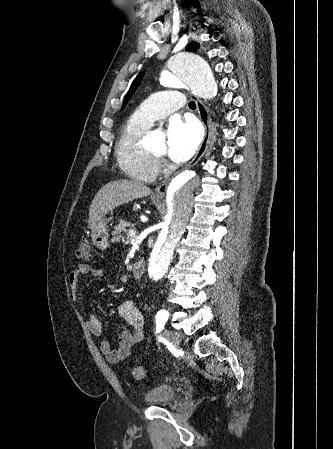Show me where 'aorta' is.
Masks as SVG:
<instances>
[{
	"mask_svg": "<svg viewBox=\"0 0 333 449\" xmlns=\"http://www.w3.org/2000/svg\"><path fill=\"white\" fill-rule=\"evenodd\" d=\"M160 81L165 86L188 88L204 99H213L217 93V83L209 64L193 53H178L167 58L160 70ZM203 178L202 173L185 171L169 183L167 219L157 236L148 265V273L154 280L161 279L168 270Z\"/></svg>",
	"mask_w": 333,
	"mask_h": 449,
	"instance_id": "aorta-1",
	"label": "aorta"
}]
</instances>
